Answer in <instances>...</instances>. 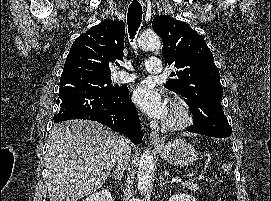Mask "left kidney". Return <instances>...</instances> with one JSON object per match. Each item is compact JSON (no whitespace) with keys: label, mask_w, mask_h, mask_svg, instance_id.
Listing matches in <instances>:
<instances>
[{"label":"left kidney","mask_w":271,"mask_h":201,"mask_svg":"<svg viewBox=\"0 0 271 201\" xmlns=\"http://www.w3.org/2000/svg\"><path fill=\"white\" fill-rule=\"evenodd\" d=\"M169 201H196V199L190 194H174Z\"/></svg>","instance_id":"1"}]
</instances>
